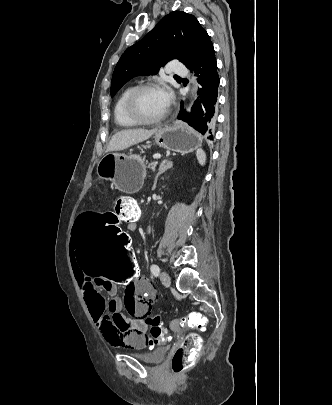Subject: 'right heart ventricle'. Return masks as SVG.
<instances>
[{
    "label": "right heart ventricle",
    "instance_id": "obj_1",
    "mask_svg": "<svg viewBox=\"0 0 332 405\" xmlns=\"http://www.w3.org/2000/svg\"><path fill=\"white\" fill-rule=\"evenodd\" d=\"M133 88L134 87L132 86H128L123 89L115 101L113 110L114 120L115 123L120 127H134L137 125L135 122L129 119L124 112L125 99Z\"/></svg>",
    "mask_w": 332,
    "mask_h": 405
}]
</instances>
